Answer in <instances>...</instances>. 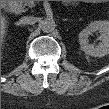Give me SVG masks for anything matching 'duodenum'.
<instances>
[{
	"label": "duodenum",
	"mask_w": 109,
	"mask_h": 109,
	"mask_svg": "<svg viewBox=\"0 0 109 109\" xmlns=\"http://www.w3.org/2000/svg\"><path fill=\"white\" fill-rule=\"evenodd\" d=\"M9 8H12L13 7V5L12 4H9V6H8Z\"/></svg>",
	"instance_id": "1"
}]
</instances>
